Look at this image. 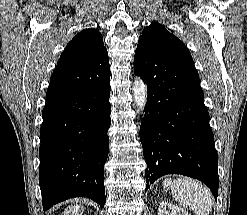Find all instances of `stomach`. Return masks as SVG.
<instances>
[{
    "instance_id": "0dacf381",
    "label": "stomach",
    "mask_w": 247,
    "mask_h": 215,
    "mask_svg": "<svg viewBox=\"0 0 247 215\" xmlns=\"http://www.w3.org/2000/svg\"><path fill=\"white\" fill-rule=\"evenodd\" d=\"M164 185H165V187H169V186H170V181H169V180L166 181V182L164 183Z\"/></svg>"
}]
</instances>
